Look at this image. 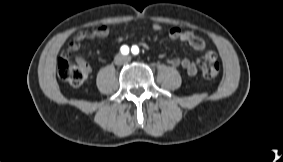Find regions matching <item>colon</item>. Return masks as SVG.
I'll list each match as a JSON object with an SVG mask.
<instances>
[{"mask_svg":"<svg viewBox=\"0 0 283 162\" xmlns=\"http://www.w3.org/2000/svg\"><path fill=\"white\" fill-rule=\"evenodd\" d=\"M220 62L214 54H207L201 67L202 76L207 80H215L220 74ZM57 73L60 79L71 86H81L89 77L90 68L86 63H70L67 58L61 57L57 64Z\"/></svg>","mask_w":283,"mask_h":162,"instance_id":"5ec220e1","label":"colon"}]
</instances>
